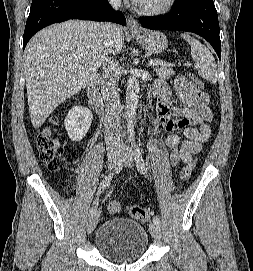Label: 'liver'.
I'll return each instance as SVG.
<instances>
[{
  "label": "liver",
  "instance_id": "1",
  "mask_svg": "<svg viewBox=\"0 0 253 271\" xmlns=\"http://www.w3.org/2000/svg\"><path fill=\"white\" fill-rule=\"evenodd\" d=\"M109 52L124 45L123 29L115 25ZM107 48L99 23L69 20L35 34L24 52V75L31 123L39 129L66 99L94 80Z\"/></svg>",
  "mask_w": 253,
  "mask_h": 271
}]
</instances>
